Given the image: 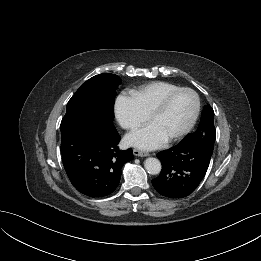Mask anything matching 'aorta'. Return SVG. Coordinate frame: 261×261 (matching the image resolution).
<instances>
[{
  "mask_svg": "<svg viewBox=\"0 0 261 261\" xmlns=\"http://www.w3.org/2000/svg\"><path fill=\"white\" fill-rule=\"evenodd\" d=\"M144 167L149 174L156 175L161 171V163L156 158H147L144 162Z\"/></svg>",
  "mask_w": 261,
  "mask_h": 261,
  "instance_id": "1",
  "label": "aorta"
}]
</instances>
